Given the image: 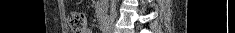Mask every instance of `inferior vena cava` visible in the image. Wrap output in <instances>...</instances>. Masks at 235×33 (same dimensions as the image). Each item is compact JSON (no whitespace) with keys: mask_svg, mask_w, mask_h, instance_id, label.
<instances>
[{"mask_svg":"<svg viewBox=\"0 0 235 33\" xmlns=\"http://www.w3.org/2000/svg\"><path fill=\"white\" fill-rule=\"evenodd\" d=\"M114 18H115V7L112 6L111 10H110V20H111L112 23L114 21Z\"/></svg>","mask_w":235,"mask_h":33,"instance_id":"602c4592","label":"inferior vena cava"}]
</instances>
